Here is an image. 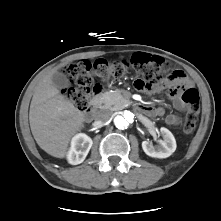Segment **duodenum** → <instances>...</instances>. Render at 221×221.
Here are the masks:
<instances>
[{
  "mask_svg": "<svg viewBox=\"0 0 221 221\" xmlns=\"http://www.w3.org/2000/svg\"><path fill=\"white\" fill-rule=\"evenodd\" d=\"M103 91V86L102 85H95L92 89V94L90 98V104H89V109L85 110L83 112L84 118L88 119L91 117L93 109L98 105L100 101V93ZM140 111L145 112V107H138Z\"/></svg>",
  "mask_w": 221,
  "mask_h": 221,
  "instance_id": "410a0bca",
  "label": "duodenum"
}]
</instances>
